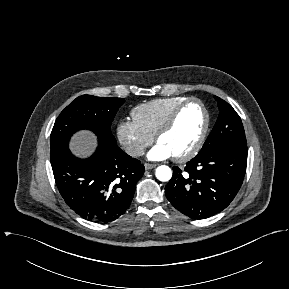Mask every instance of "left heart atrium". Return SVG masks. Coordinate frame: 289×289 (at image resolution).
I'll return each instance as SVG.
<instances>
[{
    "label": "left heart atrium",
    "instance_id": "obj_1",
    "mask_svg": "<svg viewBox=\"0 0 289 289\" xmlns=\"http://www.w3.org/2000/svg\"><path fill=\"white\" fill-rule=\"evenodd\" d=\"M150 160L159 161L172 157L171 152L162 144L155 145L147 154Z\"/></svg>",
    "mask_w": 289,
    "mask_h": 289
}]
</instances>
